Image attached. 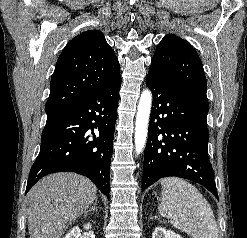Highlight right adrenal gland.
Returning <instances> with one entry per match:
<instances>
[{"instance_id":"2a0ac1e0","label":"right adrenal gland","mask_w":247,"mask_h":238,"mask_svg":"<svg viewBox=\"0 0 247 238\" xmlns=\"http://www.w3.org/2000/svg\"><path fill=\"white\" fill-rule=\"evenodd\" d=\"M96 206H97V199H96V201L94 202L93 206H92L90 209H88L87 211H85L84 214L87 215V214L90 213L91 211H98Z\"/></svg>"}]
</instances>
